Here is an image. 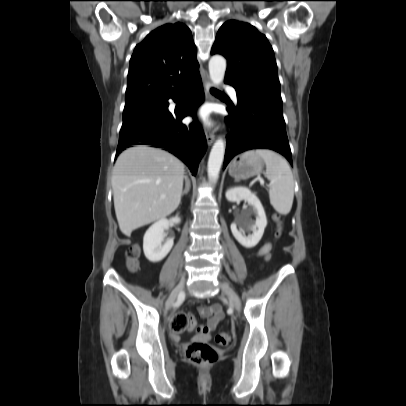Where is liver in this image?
<instances>
[{
    "label": "liver",
    "mask_w": 406,
    "mask_h": 406,
    "mask_svg": "<svg viewBox=\"0 0 406 406\" xmlns=\"http://www.w3.org/2000/svg\"><path fill=\"white\" fill-rule=\"evenodd\" d=\"M184 164L172 154L145 145L125 150L113 169L114 208L121 232L164 219L181 201ZM165 196V197H162Z\"/></svg>",
    "instance_id": "1"
}]
</instances>
